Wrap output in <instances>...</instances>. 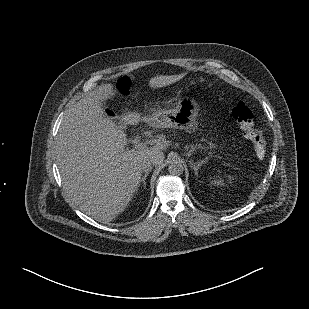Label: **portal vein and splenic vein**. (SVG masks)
<instances>
[{
	"label": "portal vein and splenic vein",
	"mask_w": 309,
	"mask_h": 309,
	"mask_svg": "<svg viewBox=\"0 0 309 309\" xmlns=\"http://www.w3.org/2000/svg\"><path fill=\"white\" fill-rule=\"evenodd\" d=\"M148 144L152 145V144H154V141L149 142V143H142V142L136 141L135 144H134V147L136 149H145Z\"/></svg>",
	"instance_id": "obj_1"
}]
</instances>
